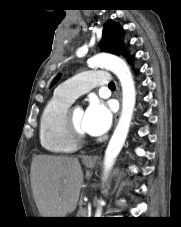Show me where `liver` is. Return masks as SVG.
Here are the masks:
<instances>
[{
    "mask_svg": "<svg viewBox=\"0 0 181 227\" xmlns=\"http://www.w3.org/2000/svg\"><path fill=\"white\" fill-rule=\"evenodd\" d=\"M30 179L33 197L42 217H66L76 209L83 185L78 158L35 156Z\"/></svg>",
    "mask_w": 181,
    "mask_h": 227,
    "instance_id": "1",
    "label": "liver"
}]
</instances>
